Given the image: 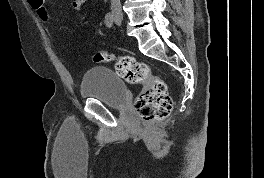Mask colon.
Segmentation results:
<instances>
[{
  "label": "colon",
  "mask_w": 264,
  "mask_h": 178,
  "mask_svg": "<svg viewBox=\"0 0 264 178\" xmlns=\"http://www.w3.org/2000/svg\"><path fill=\"white\" fill-rule=\"evenodd\" d=\"M41 20L48 22L50 15L44 0H27ZM95 63H112L117 74L131 84H143L144 88L135 100L138 115L146 122L165 119L172 109V99L167 85L151 72L150 67L130 56H117L107 51H98L93 57Z\"/></svg>",
  "instance_id": "1"
}]
</instances>
